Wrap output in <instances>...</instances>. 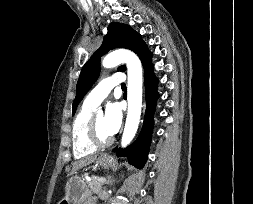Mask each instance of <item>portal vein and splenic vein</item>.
<instances>
[{"label":"portal vein and splenic vein","mask_w":253,"mask_h":204,"mask_svg":"<svg viewBox=\"0 0 253 204\" xmlns=\"http://www.w3.org/2000/svg\"><path fill=\"white\" fill-rule=\"evenodd\" d=\"M96 180L100 183H104L105 179L103 177H97Z\"/></svg>","instance_id":"18ae733b"}]
</instances>
